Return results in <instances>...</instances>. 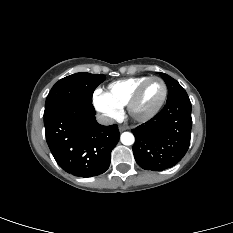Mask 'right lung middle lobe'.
I'll return each instance as SVG.
<instances>
[{"label":"right lung middle lobe","mask_w":233,"mask_h":233,"mask_svg":"<svg viewBox=\"0 0 233 233\" xmlns=\"http://www.w3.org/2000/svg\"><path fill=\"white\" fill-rule=\"evenodd\" d=\"M104 80L105 75L84 72L76 73L59 80L47 96L44 114L71 102H92V94L95 88Z\"/></svg>","instance_id":"1"}]
</instances>
